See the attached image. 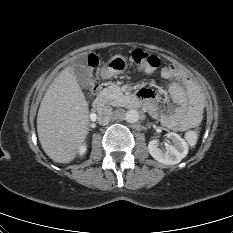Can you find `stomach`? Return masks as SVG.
<instances>
[{
	"label": "stomach",
	"mask_w": 233,
	"mask_h": 233,
	"mask_svg": "<svg viewBox=\"0 0 233 233\" xmlns=\"http://www.w3.org/2000/svg\"><path fill=\"white\" fill-rule=\"evenodd\" d=\"M127 68V61L121 55L113 56L104 66L105 77H112L123 73Z\"/></svg>",
	"instance_id": "1"
}]
</instances>
